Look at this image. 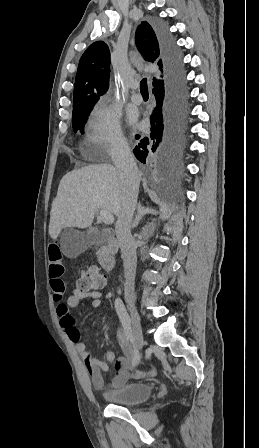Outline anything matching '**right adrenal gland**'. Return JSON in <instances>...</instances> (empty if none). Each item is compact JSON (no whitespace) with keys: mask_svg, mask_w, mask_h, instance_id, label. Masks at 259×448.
Segmentation results:
<instances>
[{"mask_svg":"<svg viewBox=\"0 0 259 448\" xmlns=\"http://www.w3.org/2000/svg\"><path fill=\"white\" fill-rule=\"evenodd\" d=\"M153 210H150V208H144V206H141V204H138L137 208V216L132 224V228H137L138 224H140L141 220H143L144 216L146 214H152Z\"/></svg>","mask_w":259,"mask_h":448,"instance_id":"right-adrenal-gland-1","label":"right adrenal gland"}]
</instances>
